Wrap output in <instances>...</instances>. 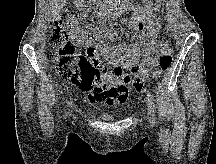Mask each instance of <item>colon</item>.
I'll return each instance as SVG.
<instances>
[{
    "label": "colon",
    "instance_id": "1",
    "mask_svg": "<svg viewBox=\"0 0 216 164\" xmlns=\"http://www.w3.org/2000/svg\"><path fill=\"white\" fill-rule=\"evenodd\" d=\"M78 22L67 17L56 18L52 22V43L57 47L55 61L61 77L83 91H94L101 85L102 72L107 67L75 51L74 36ZM172 63L169 52L160 54L153 64L138 68L131 77L130 84L140 91L146 80L156 78L167 70Z\"/></svg>",
    "mask_w": 216,
    "mask_h": 164
}]
</instances>
